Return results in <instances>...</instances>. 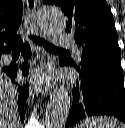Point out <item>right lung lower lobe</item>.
I'll use <instances>...</instances> for the list:
<instances>
[{
    "instance_id": "98d812e1",
    "label": "right lung lower lobe",
    "mask_w": 125,
    "mask_h": 128,
    "mask_svg": "<svg viewBox=\"0 0 125 128\" xmlns=\"http://www.w3.org/2000/svg\"><path fill=\"white\" fill-rule=\"evenodd\" d=\"M21 46V42L16 46ZM15 48V47H14ZM13 49V48H12ZM12 49H6L2 53H9ZM1 53V54H2ZM0 54V56H1ZM24 58H29L31 56V50L30 46L28 44L24 45V49L22 51ZM20 68L22 69L23 75H27L29 71L28 64H22L20 65ZM1 71L4 72L7 76L10 77L12 82L16 84L15 77L17 76L19 72V66L18 65H9L1 68ZM18 111L21 122L24 121L25 118V112H26V99L29 95V88L28 84L26 83L24 86H18Z\"/></svg>"
}]
</instances>
